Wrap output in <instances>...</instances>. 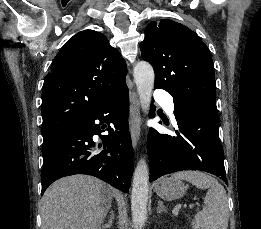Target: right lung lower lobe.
Listing matches in <instances>:
<instances>
[{"label": "right lung lower lobe", "instance_id": "98d812e1", "mask_svg": "<svg viewBox=\"0 0 261 229\" xmlns=\"http://www.w3.org/2000/svg\"><path fill=\"white\" fill-rule=\"evenodd\" d=\"M128 88L115 93L86 121L43 143L42 190L61 177L87 174L128 192L133 174V152L128 121ZM100 123H95V120ZM104 124L103 126H101ZM108 135H100L106 127ZM110 124H113L112 127ZM100 135L103 151L92 139Z\"/></svg>", "mask_w": 261, "mask_h": 229}]
</instances>
